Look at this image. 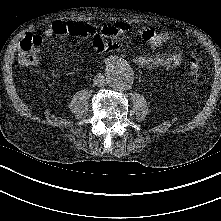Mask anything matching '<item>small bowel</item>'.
<instances>
[{
  "instance_id": "small-bowel-1",
  "label": "small bowel",
  "mask_w": 221,
  "mask_h": 221,
  "mask_svg": "<svg viewBox=\"0 0 221 221\" xmlns=\"http://www.w3.org/2000/svg\"><path fill=\"white\" fill-rule=\"evenodd\" d=\"M132 31L128 24L104 25L95 29L83 23H67L56 21L43 30L42 35H36L39 39L51 38L53 36H73L82 39L90 38L94 49L103 54L106 52H123L124 46L113 39L126 35ZM137 36L151 47H159L170 44L172 37L167 32H158L152 28L137 32ZM132 59L136 66L144 69H173L176 68L183 59L181 51H173L167 55H143L141 53H132Z\"/></svg>"
}]
</instances>
